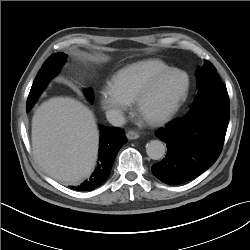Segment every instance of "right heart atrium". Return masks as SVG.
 Wrapping results in <instances>:
<instances>
[{
	"mask_svg": "<svg viewBox=\"0 0 250 250\" xmlns=\"http://www.w3.org/2000/svg\"><path fill=\"white\" fill-rule=\"evenodd\" d=\"M100 104L111 119L120 122L130 109L132 101L117 91L111 83H106L100 89Z\"/></svg>",
	"mask_w": 250,
	"mask_h": 250,
	"instance_id": "d8ad5b80",
	"label": "right heart atrium"
}]
</instances>
